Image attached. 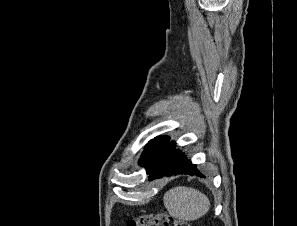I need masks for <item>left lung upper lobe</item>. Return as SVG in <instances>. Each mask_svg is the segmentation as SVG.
Listing matches in <instances>:
<instances>
[{
  "instance_id": "5c2ea615",
  "label": "left lung upper lobe",
  "mask_w": 297,
  "mask_h": 226,
  "mask_svg": "<svg viewBox=\"0 0 297 226\" xmlns=\"http://www.w3.org/2000/svg\"><path fill=\"white\" fill-rule=\"evenodd\" d=\"M170 144L168 136H158L145 146V150L139 160V164L146 168L147 174H150L156 163L164 154Z\"/></svg>"
}]
</instances>
